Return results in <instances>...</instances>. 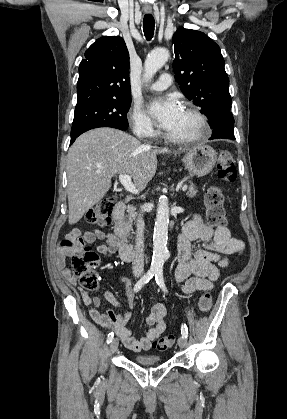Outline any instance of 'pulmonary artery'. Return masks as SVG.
I'll use <instances>...</instances> for the list:
<instances>
[{"label":"pulmonary artery","mask_w":287,"mask_h":419,"mask_svg":"<svg viewBox=\"0 0 287 419\" xmlns=\"http://www.w3.org/2000/svg\"><path fill=\"white\" fill-rule=\"evenodd\" d=\"M172 84V76L169 73H163L160 79L150 85V89L153 91H162L168 88Z\"/></svg>","instance_id":"e3ab8cb5"}]
</instances>
